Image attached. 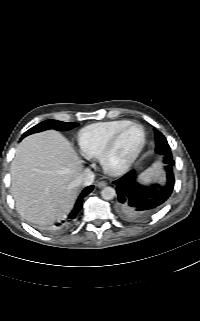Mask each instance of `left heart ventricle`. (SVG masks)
Returning <instances> with one entry per match:
<instances>
[{
  "label": "left heart ventricle",
  "instance_id": "1",
  "mask_svg": "<svg viewBox=\"0 0 200 321\" xmlns=\"http://www.w3.org/2000/svg\"><path fill=\"white\" fill-rule=\"evenodd\" d=\"M142 141V131L139 127H129L121 135L116 148L110 156V164L119 166L126 162Z\"/></svg>",
  "mask_w": 200,
  "mask_h": 321
}]
</instances>
